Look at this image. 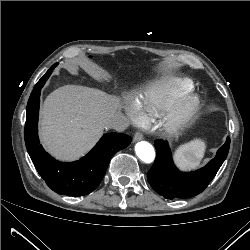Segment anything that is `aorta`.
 Segmentation results:
<instances>
[{"label":"aorta","instance_id":"aorta-1","mask_svg":"<svg viewBox=\"0 0 250 250\" xmlns=\"http://www.w3.org/2000/svg\"><path fill=\"white\" fill-rule=\"evenodd\" d=\"M135 151L138 158L145 163H151L155 159L154 148L150 143L146 141L138 142L135 145Z\"/></svg>","mask_w":250,"mask_h":250}]
</instances>
